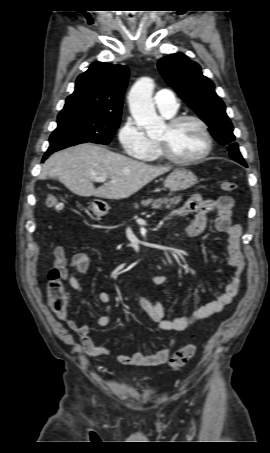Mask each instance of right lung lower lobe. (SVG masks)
<instances>
[{"instance_id": "98d812e1", "label": "right lung lower lobe", "mask_w": 270, "mask_h": 453, "mask_svg": "<svg viewBox=\"0 0 270 453\" xmlns=\"http://www.w3.org/2000/svg\"><path fill=\"white\" fill-rule=\"evenodd\" d=\"M53 152H55V151H47V152L45 153V155H44L42 161H44V160H45L50 154H52Z\"/></svg>"}]
</instances>
